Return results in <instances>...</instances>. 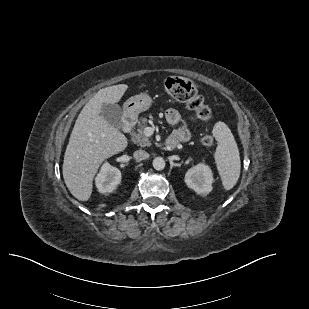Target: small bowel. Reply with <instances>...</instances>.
<instances>
[{"label": "small bowel", "instance_id": "c3829d8e", "mask_svg": "<svg viewBox=\"0 0 309 309\" xmlns=\"http://www.w3.org/2000/svg\"><path fill=\"white\" fill-rule=\"evenodd\" d=\"M165 118L169 124L176 125L180 122L181 116L176 109L171 108L166 111ZM171 138L176 139L178 143L186 142L190 139V132L186 127L180 126L174 130Z\"/></svg>", "mask_w": 309, "mask_h": 309}]
</instances>
